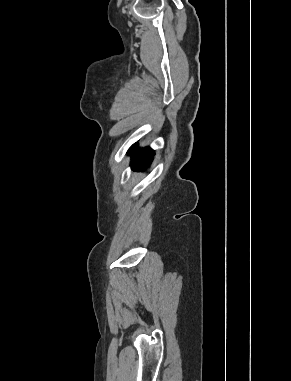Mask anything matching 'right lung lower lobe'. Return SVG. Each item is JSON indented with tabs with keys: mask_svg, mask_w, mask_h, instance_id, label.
<instances>
[{
	"mask_svg": "<svg viewBox=\"0 0 291 381\" xmlns=\"http://www.w3.org/2000/svg\"><path fill=\"white\" fill-rule=\"evenodd\" d=\"M136 144H134L129 150V153H132V161L133 170L141 171L145 169L153 159L154 151L152 149L145 148L136 151Z\"/></svg>",
	"mask_w": 291,
	"mask_h": 381,
	"instance_id": "98d812e1",
	"label": "right lung lower lobe"
}]
</instances>
